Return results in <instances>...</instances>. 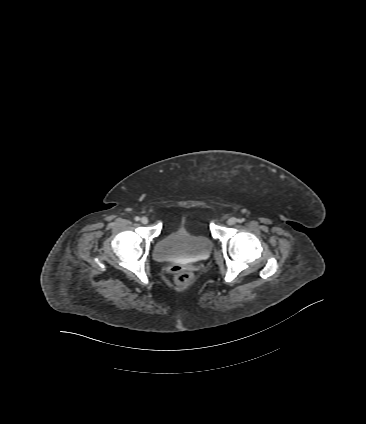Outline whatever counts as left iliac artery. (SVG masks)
I'll return each mask as SVG.
<instances>
[{"label":"left iliac artery","mask_w":366,"mask_h":424,"mask_svg":"<svg viewBox=\"0 0 366 424\" xmlns=\"http://www.w3.org/2000/svg\"><path fill=\"white\" fill-rule=\"evenodd\" d=\"M245 221V219L244 218H241V219H238V222H244Z\"/></svg>","instance_id":"obj_1"}]
</instances>
